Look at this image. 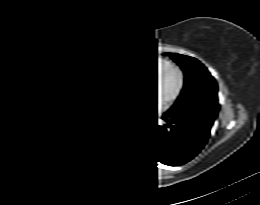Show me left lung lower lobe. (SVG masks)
Masks as SVG:
<instances>
[{
	"label": "left lung lower lobe",
	"mask_w": 260,
	"mask_h": 205,
	"mask_svg": "<svg viewBox=\"0 0 260 205\" xmlns=\"http://www.w3.org/2000/svg\"><path fill=\"white\" fill-rule=\"evenodd\" d=\"M163 126L156 119L146 122L141 134L143 149L155 161L179 166L193 159L204 147L214 120L193 114H164Z\"/></svg>",
	"instance_id": "1"
}]
</instances>
